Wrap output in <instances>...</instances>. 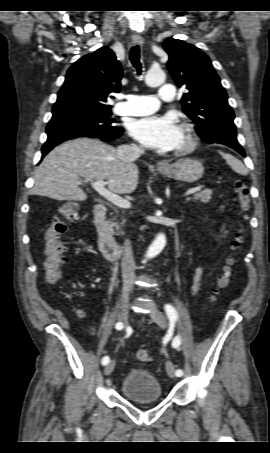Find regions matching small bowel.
Segmentation results:
<instances>
[{
  "instance_id": "small-bowel-1",
  "label": "small bowel",
  "mask_w": 270,
  "mask_h": 453,
  "mask_svg": "<svg viewBox=\"0 0 270 453\" xmlns=\"http://www.w3.org/2000/svg\"><path fill=\"white\" fill-rule=\"evenodd\" d=\"M201 275H202V268L199 267V268H197V270H196V275H195V278H194V283H193V285H192V294H193V295L197 294V292L199 291Z\"/></svg>"
}]
</instances>
